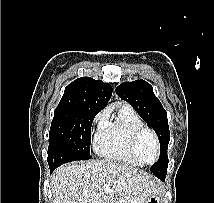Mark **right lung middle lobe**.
<instances>
[{
	"label": "right lung middle lobe",
	"instance_id": "right-lung-middle-lobe-1",
	"mask_svg": "<svg viewBox=\"0 0 214 203\" xmlns=\"http://www.w3.org/2000/svg\"><path fill=\"white\" fill-rule=\"evenodd\" d=\"M98 112L86 106L56 107L49 132V166L58 167L66 162L91 158V126Z\"/></svg>",
	"mask_w": 214,
	"mask_h": 203
}]
</instances>
